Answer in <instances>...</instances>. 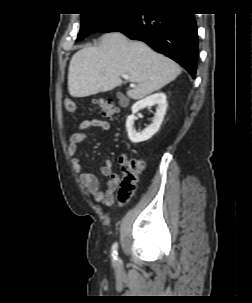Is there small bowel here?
Segmentation results:
<instances>
[{
    "label": "small bowel",
    "instance_id": "obj_1",
    "mask_svg": "<svg viewBox=\"0 0 252 303\" xmlns=\"http://www.w3.org/2000/svg\"><path fill=\"white\" fill-rule=\"evenodd\" d=\"M91 128H97L102 131L110 129V123L105 119L90 118L79 123L67 145V152L71 160L73 170L78 174L81 184L92 195L95 201L110 205L114 201V194L120 184V176L113 172L112 162L106 159L101 164V173L109 177L106 187H100L98 179L90 172L84 169L81 160L77 157V151L80 144L85 142L86 131Z\"/></svg>",
    "mask_w": 252,
    "mask_h": 303
}]
</instances>
